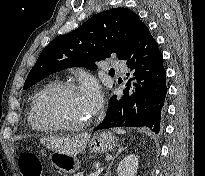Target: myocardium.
<instances>
[{"label": "myocardium", "mask_w": 205, "mask_h": 176, "mask_svg": "<svg viewBox=\"0 0 205 176\" xmlns=\"http://www.w3.org/2000/svg\"><path fill=\"white\" fill-rule=\"evenodd\" d=\"M58 92H78V88L76 85L70 82H58V83L51 84L47 88H45L36 97L33 104L32 114L35 122L44 129L60 130V131H67V132L80 131L86 128L87 126H89L92 122V114H90L85 121L77 125L62 124L56 121H48L42 118L41 105L43 101L49 96Z\"/></svg>", "instance_id": "f54148a6"}]
</instances>
